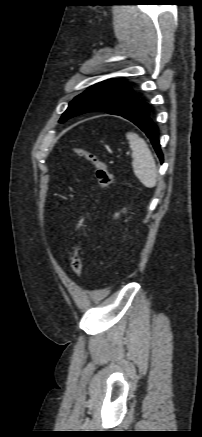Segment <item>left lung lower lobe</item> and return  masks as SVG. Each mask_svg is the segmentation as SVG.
<instances>
[{
	"mask_svg": "<svg viewBox=\"0 0 202 437\" xmlns=\"http://www.w3.org/2000/svg\"><path fill=\"white\" fill-rule=\"evenodd\" d=\"M149 112V105L143 99L137 98L106 113L121 116L137 125L150 139L161 163H163V155L158 139V127L150 119Z\"/></svg>",
	"mask_w": 202,
	"mask_h": 437,
	"instance_id": "0a47b994",
	"label": "left lung lower lobe"
}]
</instances>
